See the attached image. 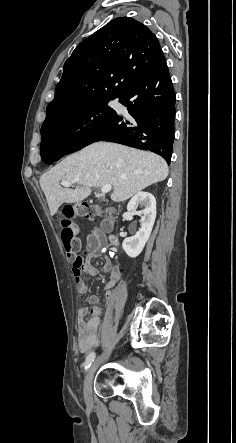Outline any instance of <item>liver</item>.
I'll list each match as a JSON object with an SVG mask.
<instances>
[{
  "label": "liver",
  "instance_id": "liver-1",
  "mask_svg": "<svg viewBox=\"0 0 236 443\" xmlns=\"http://www.w3.org/2000/svg\"><path fill=\"white\" fill-rule=\"evenodd\" d=\"M166 161L152 152L124 145L96 142L67 156L40 177L50 214L63 203H76L91 194V188L112 185L111 199L122 202L146 187L165 180ZM76 184L75 190L62 188L60 181Z\"/></svg>",
  "mask_w": 236,
  "mask_h": 443
}]
</instances>
